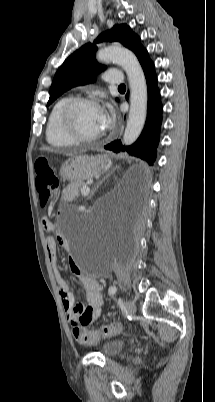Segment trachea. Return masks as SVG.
Segmentation results:
<instances>
[{"instance_id":"obj_1","label":"trachea","mask_w":215,"mask_h":402,"mask_svg":"<svg viewBox=\"0 0 215 402\" xmlns=\"http://www.w3.org/2000/svg\"><path fill=\"white\" fill-rule=\"evenodd\" d=\"M118 88L122 89V88H126V86L124 84H122Z\"/></svg>"}]
</instances>
